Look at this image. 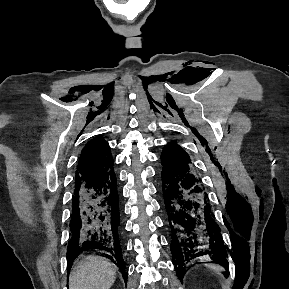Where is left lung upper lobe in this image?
Masks as SVG:
<instances>
[{
	"mask_svg": "<svg viewBox=\"0 0 289 289\" xmlns=\"http://www.w3.org/2000/svg\"><path fill=\"white\" fill-rule=\"evenodd\" d=\"M164 149H171L177 152H182L183 154L189 157V155L186 152H184L183 149L176 144V142L168 143L167 145L164 146Z\"/></svg>",
	"mask_w": 289,
	"mask_h": 289,
	"instance_id": "5c2ea615",
	"label": "left lung upper lobe"
}]
</instances>
